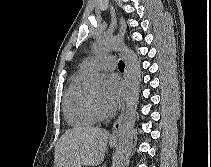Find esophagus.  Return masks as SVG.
I'll use <instances>...</instances> for the list:
<instances>
[{"mask_svg": "<svg viewBox=\"0 0 211 167\" xmlns=\"http://www.w3.org/2000/svg\"><path fill=\"white\" fill-rule=\"evenodd\" d=\"M123 58L125 59V55H123ZM124 78H125L126 86H127V89H128L127 67L125 69ZM127 93H128V91H126L125 96H124V101H123L121 113H120L119 117L117 118V120L113 124L112 132H111V135H110V141H118V139L120 137L121 128H122V121H123L124 112H125V103H126Z\"/></svg>", "mask_w": 211, "mask_h": 167, "instance_id": "esophagus-1", "label": "esophagus"}]
</instances>
